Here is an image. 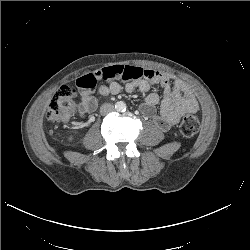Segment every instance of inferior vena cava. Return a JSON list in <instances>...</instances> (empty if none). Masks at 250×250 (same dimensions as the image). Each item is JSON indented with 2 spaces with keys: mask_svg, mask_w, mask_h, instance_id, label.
<instances>
[{
  "mask_svg": "<svg viewBox=\"0 0 250 250\" xmlns=\"http://www.w3.org/2000/svg\"><path fill=\"white\" fill-rule=\"evenodd\" d=\"M114 110V106L112 104H109V103H105L101 106L100 108V113L102 115H105L109 112H112Z\"/></svg>",
  "mask_w": 250,
  "mask_h": 250,
  "instance_id": "602c4592",
  "label": "inferior vena cava"
}]
</instances>
